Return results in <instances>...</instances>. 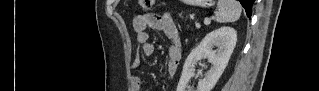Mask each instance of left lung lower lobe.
<instances>
[{"mask_svg":"<svg viewBox=\"0 0 319 91\" xmlns=\"http://www.w3.org/2000/svg\"><path fill=\"white\" fill-rule=\"evenodd\" d=\"M239 2L243 5V7L245 8L246 14L249 17V19L251 18L252 15V5L254 3V0H239Z\"/></svg>","mask_w":319,"mask_h":91,"instance_id":"left-lung-lower-lobe-1","label":"left lung lower lobe"}]
</instances>
